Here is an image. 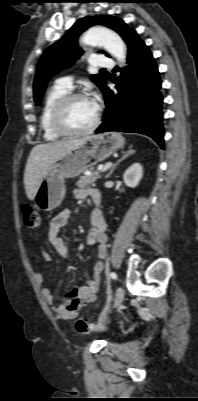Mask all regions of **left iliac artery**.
<instances>
[{
  "label": "left iliac artery",
  "mask_w": 198,
  "mask_h": 401,
  "mask_svg": "<svg viewBox=\"0 0 198 401\" xmlns=\"http://www.w3.org/2000/svg\"><path fill=\"white\" fill-rule=\"evenodd\" d=\"M110 277H111L112 279H116V278H117V275H116L115 272H111V273H110Z\"/></svg>",
  "instance_id": "1"
}]
</instances>
